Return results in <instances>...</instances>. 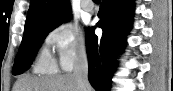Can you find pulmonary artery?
Returning <instances> with one entry per match:
<instances>
[{"label":"pulmonary artery","instance_id":"obj_1","mask_svg":"<svg viewBox=\"0 0 173 91\" xmlns=\"http://www.w3.org/2000/svg\"><path fill=\"white\" fill-rule=\"evenodd\" d=\"M82 8L85 11L90 12L94 9V4L91 0L82 1Z\"/></svg>","mask_w":173,"mask_h":91}]
</instances>
